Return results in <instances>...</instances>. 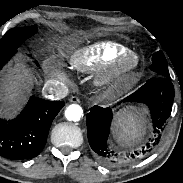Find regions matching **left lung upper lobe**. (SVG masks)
<instances>
[{
    "mask_svg": "<svg viewBox=\"0 0 183 183\" xmlns=\"http://www.w3.org/2000/svg\"><path fill=\"white\" fill-rule=\"evenodd\" d=\"M152 62L153 63L150 67V69L152 71H154L162 76H166V77L170 76L169 71H168L166 58L161 51L156 52L153 55Z\"/></svg>",
    "mask_w": 183,
    "mask_h": 183,
    "instance_id": "5c2ea615",
    "label": "left lung upper lobe"
}]
</instances>
